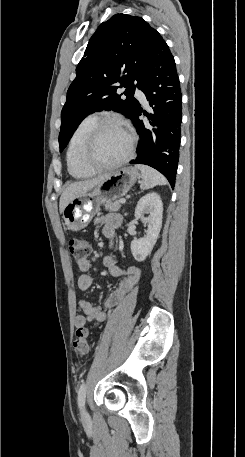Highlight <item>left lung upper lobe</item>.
Masks as SVG:
<instances>
[{
	"label": "left lung upper lobe",
	"instance_id": "left-lung-upper-lobe-1",
	"mask_svg": "<svg viewBox=\"0 0 245 457\" xmlns=\"http://www.w3.org/2000/svg\"><path fill=\"white\" fill-rule=\"evenodd\" d=\"M162 37L141 17L115 14L93 34L76 68L61 112L60 152L90 113L114 110L132 119L139 107L133 95ZM120 83L121 86H115ZM127 88L123 100L118 88Z\"/></svg>",
	"mask_w": 245,
	"mask_h": 457
}]
</instances>
